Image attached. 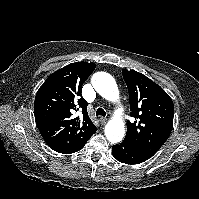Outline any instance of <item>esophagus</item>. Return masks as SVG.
I'll return each mask as SVG.
<instances>
[{"mask_svg": "<svg viewBox=\"0 0 199 199\" xmlns=\"http://www.w3.org/2000/svg\"><path fill=\"white\" fill-rule=\"evenodd\" d=\"M100 123H101V125H105V124L107 123V119L101 117V118H100Z\"/></svg>", "mask_w": 199, "mask_h": 199, "instance_id": "esophagus-1", "label": "esophagus"}]
</instances>
